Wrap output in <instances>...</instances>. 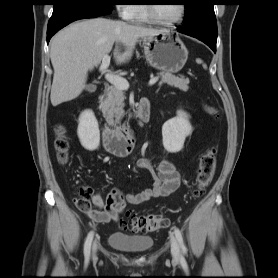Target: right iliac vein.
Returning a JSON list of instances; mask_svg holds the SVG:
<instances>
[{
  "label": "right iliac vein",
  "instance_id": "1",
  "mask_svg": "<svg viewBox=\"0 0 278 278\" xmlns=\"http://www.w3.org/2000/svg\"><path fill=\"white\" fill-rule=\"evenodd\" d=\"M95 253H96V244H93V257H95Z\"/></svg>",
  "mask_w": 278,
  "mask_h": 278
}]
</instances>
